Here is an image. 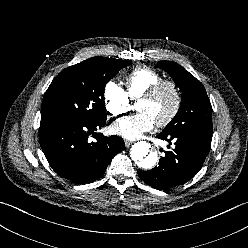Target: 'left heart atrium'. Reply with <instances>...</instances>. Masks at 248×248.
I'll use <instances>...</instances> for the list:
<instances>
[{
  "mask_svg": "<svg viewBox=\"0 0 248 248\" xmlns=\"http://www.w3.org/2000/svg\"><path fill=\"white\" fill-rule=\"evenodd\" d=\"M155 122L146 112L120 119L112 125L111 130L114 134L126 139L135 140L140 138L145 132L150 131Z\"/></svg>",
  "mask_w": 248,
  "mask_h": 248,
  "instance_id": "39dd6f15",
  "label": "left heart atrium"
}]
</instances>
